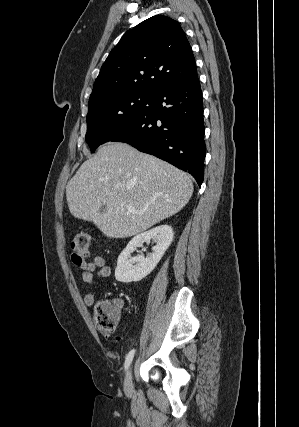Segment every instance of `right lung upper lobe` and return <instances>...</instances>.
I'll use <instances>...</instances> for the list:
<instances>
[{
  "label": "right lung upper lobe",
  "instance_id": "cb5924a9",
  "mask_svg": "<svg viewBox=\"0 0 299 427\" xmlns=\"http://www.w3.org/2000/svg\"><path fill=\"white\" fill-rule=\"evenodd\" d=\"M197 75L195 58L180 24L155 15L127 32L104 62L89 105L123 92L155 93Z\"/></svg>",
  "mask_w": 299,
  "mask_h": 427
}]
</instances>
